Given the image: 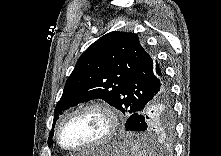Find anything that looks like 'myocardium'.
<instances>
[{
  "label": "myocardium",
  "instance_id": "obj_1",
  "mask_svg": "<svg viewBox=\"0 0 221 156\" xmlns=\"http://www.w3.org/2000/svg\"><path fill=\"white\" fill-rule=\"evenodd\" d=\"M89 110L98 111L105 116L107 120L106 131L99 139H97L96 141L86 146L74 147V148L65 146L61 139V133H62L64 125L74 115L84 112V111H89ZM119 124H120V120H119L118 113L111 105L105 102H90V103H87V104H84L75 108L62 119L57 129V134H56L57 143L62 149L69 151V152H80V151L89 150L97 146H100L108 142L110 139H112L118 130Z\"/></svg>",
  "mask_w": 221,
  "mask_h": 156
}]
</instances>
